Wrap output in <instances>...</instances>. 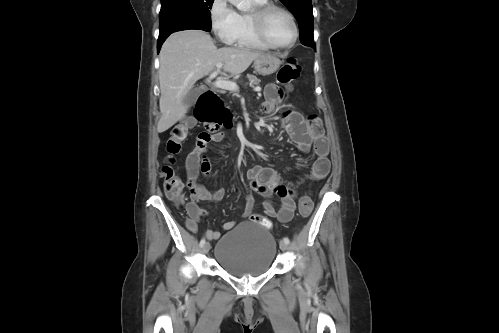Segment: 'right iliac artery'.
I'll list each match as a JSON object with an SVG mask.
<instances>
[{"mask_svg": "<svg viewBox=\"0 0 499 333\" xmlns=\"http://www.w3.org/2000/svg\"><path fill=\"white\" fill-rule=\"evenodd\" d=\"M204 244H205V238H202L200 241V246L203 247Z\"/></svg>", "mask_w": 499, "mask_h": 333, "instance_id": "82829eb1", "label": "right iliac artery"}]
</instances>
